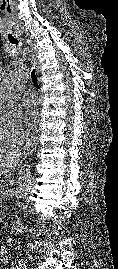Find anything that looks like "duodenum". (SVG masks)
Returning a JSON list of instances; mask_svg holds the SVG:
<instances>
[{"mask_svg": "<svg viewBox=\"0 0 118 269\" xmlns=\"http://www.w3.org/2000/svg\"><path fill=\"white\" fill-rule=\"evenodd\" d=\"M23 221L15 220L9 224L8 230L11 234H17L23 229Z\"/></svg>", "mask_w": 118, "mask_h": 269, "instance_id": "410a0bca", "label": "duodenum"}]
</instances>
